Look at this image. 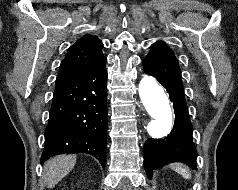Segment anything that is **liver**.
Returning a JSON list of instances; mask_svg holds the SVG:
<instances>
[{
  "label": "liver",
  "mask_w": 238,
  "mask_h": 190,
  "mask_svg": "<svg viewBox=\"0 0 238 190\" xmlns=\"http://www.w3.org/2000/svg\"><path fill=\"white\" fill-rule=\"evenodd\" d=\"M76 155H60L48 160L44 165L45 182L48 188H53L75 166Z\"/></svg>",
  "instance_id": "6515ba94"
}]
</instances>
